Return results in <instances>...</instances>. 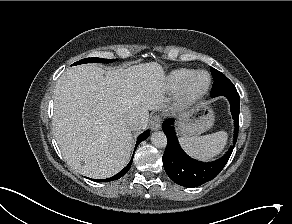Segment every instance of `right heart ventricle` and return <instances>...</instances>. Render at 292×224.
<instances>
[{"label": "right heart ventricle", "instance_id": "1", "mask_svg": "<svg viewBox=\"0 0 292 224\" xmlns=\"http://www.w3.org/2000/svg\"><path fill=\"white\" fill-rule=\"evenodd\" d=\"M195 72L194 69L179 68L172 70L165 78V86L170 91H178L186 80Z\"/></svg>", "mask_w": 292, "mask_h": 224}]
</instances>
